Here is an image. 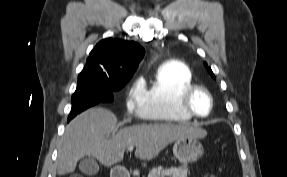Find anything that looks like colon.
I'll use <instances>...</instances> for the list:
<instances>
[{
	"instance_id": "1",
	"label": "colon",
	"mask_w": 287,
	"mask_h": 177,
	"mask_svg": "<svg viewBox=\"0 0 287 177\" xmlns=\"http://www.w3.org/2000/svg\"><path fill=\"white\" fill-rule=\"evenodd\" d=\"M71 177H82V176H79V175H73V176H71ZM203 177H216V175H215V174H213V173H208V174H205Z\"/></svg>"
}]
</instances>
